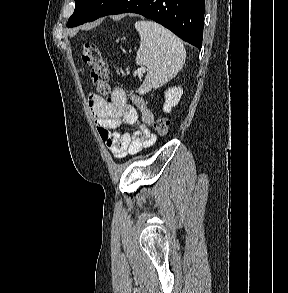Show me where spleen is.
Returning <instances> with one entry per match:
<instances>
[{
    "instance_id": "1",
    "label": "spleen",
    "mask_w": 288,
    "mask_h": 293,
    "mask_svg": "<svg viewBox=\"0 0 288 293\" xmlns=\"http://www.w3.org/2000/svg\"><path fill=\"white\" fill-rule=\"evenodd\" d=\"M140 48L136 64L147 66V76L138 89L140 94L157 89L175 77L182 69L186 51L181 40L171 31L153 21H137Z\"/></svg>"
}]
</instances>
